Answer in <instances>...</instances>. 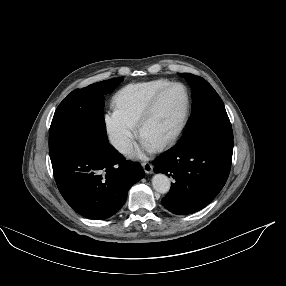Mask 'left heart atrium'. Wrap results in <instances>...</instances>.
Here are the masks:
<instances>
[{
  "mask_svg": "<svg viewBox=\"0 0 286 286\" xmlns=\"http://www.w3.org/2000/svg\"><path fill=\"white\" fill-rule=\"evenodd\" d=\"M154 150V145L142 137L138 146L128 150L126 153L131 157L145 158L148 153Z\"/></svg>",
  "mask_w": 286,
  "mask_h": 286,
  "instance_id": "1",
  "label": "left heart atrium"
}]
</instances>
